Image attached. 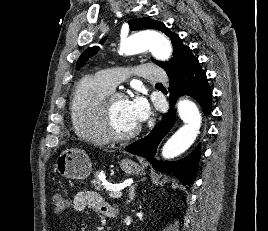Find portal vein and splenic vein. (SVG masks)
Wrapping results in <instances>:
<instances>
[{"label":"portal vein and splenic vein","mask_w":268,"mask_h":231,"mask_svg":"<svg viewBox=\"0 0 268 231\" xmlns=\"http://www.w3.org/2000/svg\"><path fill=\"white\" fill-rule=\"evenodd\" d=\"M108 190H109V196L111 198H120L122 196V192L121 189L116 188L114 186H108Z\"/></svg>","instance_id":"obj_1"}]
</instances>
